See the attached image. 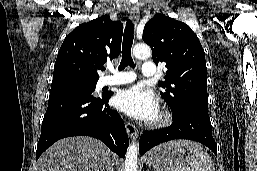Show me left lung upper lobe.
<instances>
[{
    "label": "left lung upper lobe",
    "mask_w": 257,
    "mask_h": 171,
    "mask_svg": "<svg viewBox=\"0 0 257 171\" xmlns=\"http://www.w3.org/2000/svg\"><path fill=\"white\" fill-rule=\"evenodd\" d=\"M143 40L153 61L166 63L160 94L175 113L186 107L208 110L205 53L196 34L183 22L156 14L145 25Z\"/></svg>",
    "instance_id": "left-lung-upper-lobe-1"
}]
</instances>
